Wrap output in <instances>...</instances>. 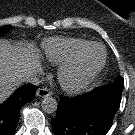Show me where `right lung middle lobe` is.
<instances>
[{
	"instance_id": "right-lung-middle-lobe-1",
	"label": "right lung middle lobe",
	"mask_w": 135,
	"mask_h": 135,
	"mask_svg": "<svg viewBox=\"0 0 135 135\" xmlns=\"http://www.w3.org/2000/svg\"><path fill=\"white\" fill-rule=\"evenodd\" d=\"M11 28V26H4V27H0V36H3L9 29Z\"/></svg>"
}]
</instances>
